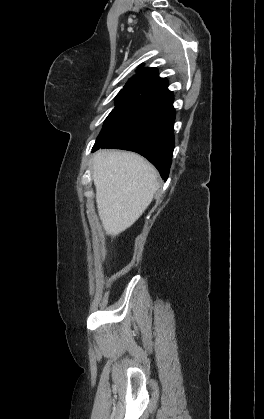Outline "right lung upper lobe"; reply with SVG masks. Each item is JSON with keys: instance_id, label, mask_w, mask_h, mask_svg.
I'll return each instance as SVG.
<instances>
[{"instance_id": "1", "label": "right lung upper lobe", "mask_w": 264, "mask_h": 419, "mask_svg": "<svg viewBox=\"0 0 264 419\" xmlns=\"http://www.w3.org/2000/svg\"><path fill=\"white\" fill-rule=\"evenodd\" d=\"M124 88L146 95L149 98L171 94L167 88V80L158 76L156 68L138 70L137 74L125 84Z\"/></svg>"}]
</instances>
